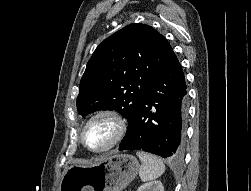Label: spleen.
Returning a JSON list of instances; mask_svg holds the SVG:
<instances>
[{
    "mask_svg": "<svg viewBox=\"0 0 251 191\" xmlns=\"http://www.w3.org/2000/svg\"><path fill=\"white\" fill-rule=\"evenodd\" d=\"M138 157L141 159V167H139V175L142 181H150L156 179L159 175L164 173L166 167L160 157L147 153V151H136Z\"/></svg>",
    "mask_w": 251,
    "mask_h": 191,
    "instance_id": "spleen-1",
    "label": "spleen"
}]
</instances>
